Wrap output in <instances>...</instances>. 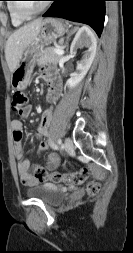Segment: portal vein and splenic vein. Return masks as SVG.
<instances>
[{
	"label": "portal vein and splenic vein",
	"mask_w": 133,
	"mask_h": 253,
	"mask_svg": "<svg viewBox=\"0 0 133 253\" xmlns=\"http://www.w3.org/2000/svg\"><path fill=\"white\" fill-rule=\"evenodd\" d=\"M55 53L59 54V55H63L64 54V50L61 48H56L55 49Z\"/></svg>",
	"instance_id": "portal-vein-and-splenic-vein-1"
}]
</instances>
